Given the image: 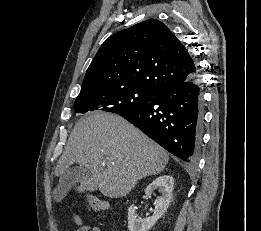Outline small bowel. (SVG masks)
Here are the masks:
<instances>
[{
	"instance_id": "1",
	"label": "small bowel",
	"mask_w": 261,
	"mask_h": 231,
	"mask_svg": "<svg viewBox=\"0 0 261 231\" xmlns=\"http://www.w3.org/2000/svg\"><path fill=\"white\" fill-rule=\"evenodd\" d=\"M75 222H76L78 225H81V224H82L80 218L77 217V216L75 217ZM79 231H101V229H100L99 227L83 225V226H81V228H80Z\"/></svg>"
}]
</instances>
